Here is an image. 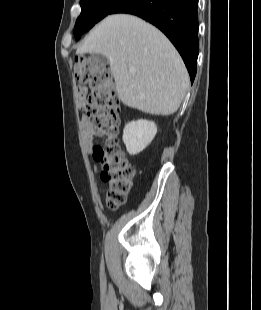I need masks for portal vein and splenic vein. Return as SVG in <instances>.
I'll return each instance as SVG.
<instances>
[{
	"mask_svg": "<svg viewBox=\"0 0 261 310\" xmlns=\"http://www.w3.org/2000/svg\"><path fill=\"white\" fill-rule=\"evenodd\" d=\"M130 72H134V68H130Z\"/></svg>",
	"mask_w": 261,
	"mask_h": 310,
	"instance_id": "portal-vein-and-splenic-vein-1",
	"label": "portal vein and splenic vein"
}]
</instances>
